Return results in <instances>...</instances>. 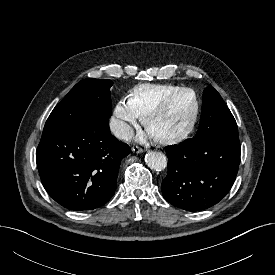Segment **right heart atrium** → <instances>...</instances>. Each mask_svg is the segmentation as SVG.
Returning a JSON list of instances; mask_svg holds the SVG:
<instances>
[{"label":"right heart atrium","mask_w":275,"mask_h":275,"mask_svg":"<svg viewBox=\"0 0 275 275\" xmlns=\"http://www.w3.org/2000/svg\"><path fill=\"white\" fill-rule=\"evenodd\" d=\"M139 116L134 112L126 100H120L113 111L111 128L120 139H126L131 134L133 126Z\"/></svg>","instance_id":"d8ad5b80"}]
</instances>
